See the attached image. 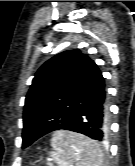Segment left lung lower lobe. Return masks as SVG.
Segmentation results:
<instances>
[{
	"label": "left lung lower lobe",
	"mask_w": 135,
	"mask_h": 166,
	"mask_svg": "<svg viewBox=\"0 0 135 166\" xmlns=\"http://www.w3.org/2000/svg\"><path fill=\"white\" fill-rule=\"evenodd\" d=\"M108 100L105 80L90 60L70 91L65 107L46 123L24 122L23 148L55 130H70L103 141L108 134Z\"/></svg>",
	"instance_id": "left-lung-lower-lobe-1"
}]
</instances>
